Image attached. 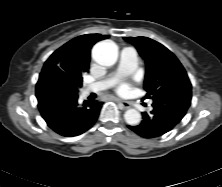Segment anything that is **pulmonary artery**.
Wrapping results in <instances>:
<instances>
[{"label": "pulmonary artery", "mask_w": 222, "mask_h": 187, "mask_svg": "<svg viewBox=\"0 0 222 187\" xmlns=\"http://www.w3.org/2000/svg\"><path fill=\"white\" fill-rule=\"evenodd\" d=\"M137 66V54L131 47H124L120 53V63L116 75L108 76L100 81L83 88L82 93L88 95L91 92H99L111 86L118 77L131 74Z\"/></svg>", "instance_id": "pulmonary-artery-1"}]
</instances>
